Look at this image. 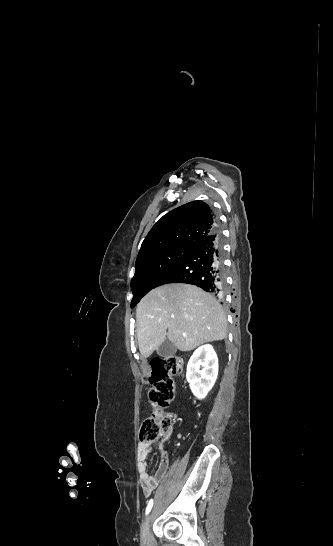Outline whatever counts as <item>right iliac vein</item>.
Returning <instances> with one entry per match:
<instances>
[{
    "instance_id": "1",
    "label": "right iliac vein",
    "mask_w": 333,
    "mask_h": 546,
    "mask_svg": "<svg viewBox=\"0 0 333 546\" xmlns=\"http://www.w3.org/2000/svg\"><path fill=\"white\" fill-rule=\"evenodd\" d=\"M151 521H152V513H150L144 523H143V526H142V529H141V541L145 544L148 542V539H149V530H150V524H151Z\"/></svg>"
}]
</instances>
